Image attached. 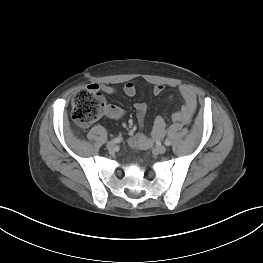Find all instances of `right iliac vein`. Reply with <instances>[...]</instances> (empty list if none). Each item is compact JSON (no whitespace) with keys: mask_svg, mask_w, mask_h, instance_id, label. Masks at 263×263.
I'll list each match as a JSON object with an SVG mask.
<instances>
[{"mask_svg":"<svg viewBox=\"0 0 263 263\" xmlns=\"http://www.w3.org/2000/svg\"><path fill=\"white\" fill-rule=\"evenodd\" d=\"M116 144L113 141L107 143L106 147L109 151H113L115 149Z\"/></svg>","mask_w":263,"mask_h":263,"instance_id":"obj_1","label":"right iliac vein"}]
</instances>
